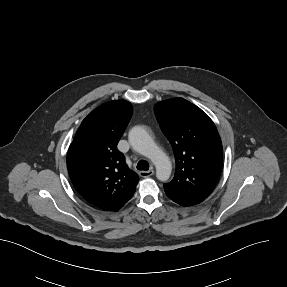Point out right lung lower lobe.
<instances>
[{"label":"right lung lower lobe","instance_id":"1","mask_svg":"<svg viewBox=\"0 0 287 287\" xmlns=\"http://www.w3.org/2000/svg\"><path fill=\"white\" fill-rule=\"evenodd\" d=\"M132 196H133V195L127 196V197H125V198H123V199H121V200H119V201H117V202H115V203H113V204H111V205H109V206L103 208L102 210H104V211H117V210H119L125 203H127V202L131 199Z\"/></svg>","mask_w":287,"mask_h":287}]
</instances>
